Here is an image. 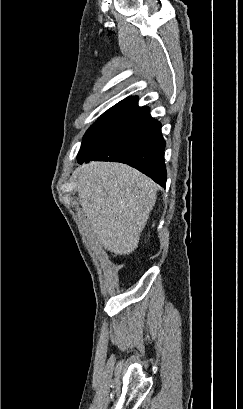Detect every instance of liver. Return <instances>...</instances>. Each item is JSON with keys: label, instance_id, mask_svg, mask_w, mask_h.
I'll use <instances>...</instances> for the list:
<instances>
[{"label": "liver", "instance_id": "obj_1", "mask_svg": "<svg viewBox=\"0 0 243 409\" xmlns=\"http://www.w3.org/2000/svg\"><path fill=\"white\" fill-rule=\"evenodd\" d=\"M73 177L86 223L115 255L132 253L156 200L157 185L138 170L114 162H92Z\"/></svg>", "mask_w": 243, "mask_h": 409}]
</instances>
